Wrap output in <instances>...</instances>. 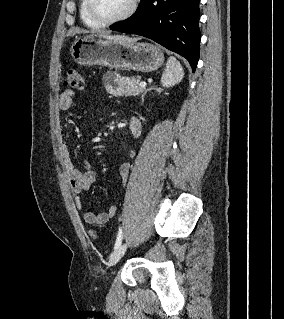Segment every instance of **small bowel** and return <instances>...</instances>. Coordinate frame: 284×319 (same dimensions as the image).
Returning <instances> with one entry per match:
<instances>
[{
	"label": "small bowel",
	"mask_w": 284,
	"mask_h": 319,
	"mask_svg": "<svg viewBox=\"0 0 284 319\" xmlns=\"http://www.w3.org/2000/svg\"><path fill=\"white\" fill-rule=\"evenodd\" d=\"M75 100V94L72 90L67 89L61 93L57 106L59 110L66 111L69 110ZM141 121L133 117L130 122V130L133 135H140L142 132ZM65 133L61 130V137L64 138ZM135 153L132 151L130 157L133 158ZM64 158L66 163V173L70 183L71 190L75 196V205L78 210H83V200L82 194L89 190L96 179L95 170L88 164L85 163L84 169L79 170L72 162L69 151L67 147L64 148ZM131 172V165L129 163H124L119 168V174L123 180L126 182ZM116 206L111 205L106 211L103 212H92L85 211L83 214L84 221L89 225H102L105 224L109 219L115 216Z\"/></svg>",
	"instance_id": "1"
}]
</instances>
